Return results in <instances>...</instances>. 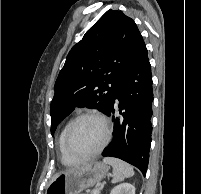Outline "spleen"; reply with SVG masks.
Masks as SVG:
<instances>
[{"instance_id": "spleen-1", "label": "spleen", "mask_w": 201, "mask_h": 194, "mask_svg": "<svg viewBox=\"0 0 201 194\" xmlns=\"http://www.w3.org/2000/svg\"><path fill=\"white\" fill-rule=\"evenodd\" d=\"M105 164L111 165L112 170V183L123 181L126 178L134 175V170L128 163L112 157H106L103 159Z\"/></svg>"}]
</instances>
